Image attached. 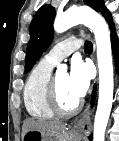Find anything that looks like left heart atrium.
Returning a JSON list of instances; mask_svg holds the SVG:
<instances>
[{"label": "left heart atrium", "instance_id": "39dd6f15", "mask_svg": "<svg viewBox=\"0 0 119 141\" xmlns=\"http://www.w3.org/2000/svg\"><path fill=\"white\" fill-rule=\"evenodd\" d=\"M91 77V70L82 60L75 59L71 63L68 74V87L71 93L79 100L86 94Z\"/></svg>", "mask_w": 119, "mask_h": 141}]
</instances>
